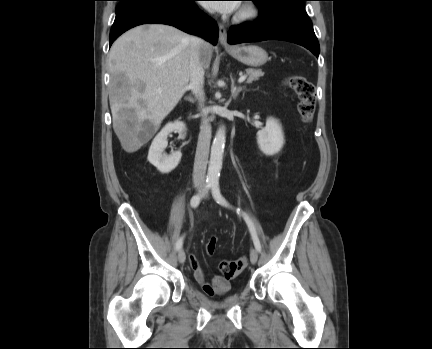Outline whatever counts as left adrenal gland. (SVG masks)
I'll use <instances>...</instances> for the list:
<instances>
[{
    "label": "left adrenal gland",
    "instance_id": "left-adrenal-gland-1",
    "mask_svg": "<svg viewBox=\"0 0 432 349\" xmlns=\"http://www.w3.org/2000/svg\"><path fill=\"white\" fill-rule=\"evenodd\" d=\"M245 89H246L245 86H239V87H236V86H235V83H234V80L232 79L231 94H232V98H233V99H236L237 96L239 95V93H240L241 91L245 90Z\"/></svg>",
    "mask_w": 432,
    "mask_h": 349
}]
</instances>
